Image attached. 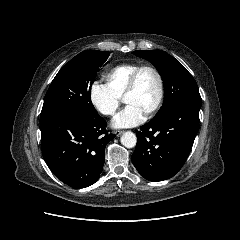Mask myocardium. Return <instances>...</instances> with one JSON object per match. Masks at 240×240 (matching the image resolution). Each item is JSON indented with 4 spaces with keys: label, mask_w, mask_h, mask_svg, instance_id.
I'll use <instances>...</instances> for the list:
<instances>
[{
    "label": "myocardium",
    "mask_w": 240,
    "mask_h": 240,
    "mask_svg": "<svg viewBox=\"0 0 240 240\" xmlns=\"http://www.w3.org/2000/svg\"><path fill=\"white\" fill-rule=\"evenodd\" d=\"M145 70L152 71L154 73V75L156 76L157 83H158V93H157L156 100H155L154 104L145 112L146 116H150V115L154 114L160 108L163 98H164V79H163L161 72L158 70V68H156L153 65H149V64L139 66L134 71V73L131 75L128 85H127V88L125 90V93L123 95V98L125 100V98L136 89L139 76Z\"/></svg>",
    "instance_id": "f54148a6"
}]
</instances>
